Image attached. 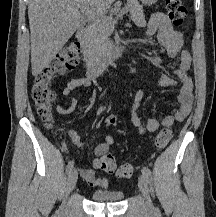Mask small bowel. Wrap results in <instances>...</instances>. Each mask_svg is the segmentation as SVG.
I'll list each match as a JSON object with an SVG mask.
<instances>
[{"label":"small bowel","instance_id":"obj_1","mask_svg":"<svg viewBox=\"0 0 216 217\" xmlns=\"http://www.w3.org/2000/svg\"><path fill=\"white\" fill-rule=\"evenodd\" d=\"M147 36H155L158 43L166 50L167 55L179 62L178 68L170 75H160L158 82L162 86H178L177 106L170 114L152 117L147 120L145 126L141 124L137 115L140 102L143 99L145 88H141L133 98L130 107V120L139 134L145 132H156L161 126L169 127L176 122H182L189 114L193 102V80L189 74L192 63L190 53L184 48L182 34L175 30L169 18L163 13H155L151 16ZM178 79V81L176 80ZM91 77L89 75L69 80L62 89V94L70 100V106H58L60 114H68L76 99L73 95L75 90L89 86ZM68 136L77 148H83L84 142L74 129L68 130ZM114 144V138L110 135L104 136L95 147V158L92 161V168L81 171L82 179L90 186L106 189L109 186V179L97 177L95 171L101 169V162L108 154L109 148Z\"/></svg>","mask_w":216,"mask_h":217}]
</instances>
